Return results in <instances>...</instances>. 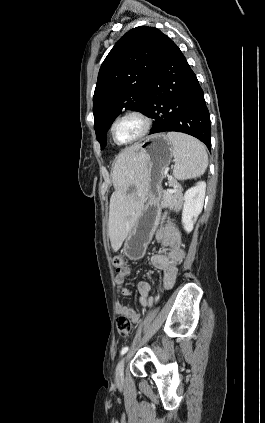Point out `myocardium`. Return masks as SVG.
<instances>
[{
	"label": "myocardium",
	"instance_id": "obj_1",
	"mask_svg": "<svg viewBox=\"0 0 265 423\" xmlns=\"http://www.w3.org/2000/svg\"><path fill=\"white\" fill-rule=\"evenodd\" d=\"M127 118L138 119L142 124V129L135 138H133L129 141H126V142H121L116 137L115 127L120 121L127 119ZM151 128H152V121L145 113H143L140 110L129 109V110L122 112L121 114H119L117 117L114 118V120L112 121V123L110 125V133H111L113 141L116 144L125 146V145H131L133 143H136V142L142 140L145 136L148 135Z\"/></svg>",
	"mask_w": 265,
	"mask_h": 423
}]
</instances>
